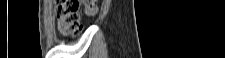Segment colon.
<instances>
[{
  "instance_id": "1",
  "label": "colon",
  "mask_w": 225,
  "mask_h": 58,
  "mask_svg": "<svg viewBox=\"0 0 225 58\" xmlns=\"http://www.w3.org/2000/svg\"><path fill=\"white\" fill-rule=\"evenodd\" d=\"M85 12L93 15L96 12V5L93 1H85ZM58 27L62 34L67 36L75 35L80 29V1L78 0H58L57 5Z\"/></svg>"
}]
</instances>
